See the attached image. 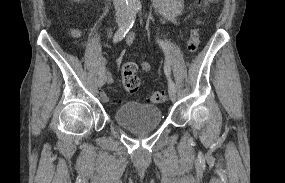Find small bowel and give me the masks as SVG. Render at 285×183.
<instances>
[{
  "mask_svg": "<svg viewBox=\"0 0 285 183\" xmlns=\"http://www.w3.org/2000/svg\"><path fill=\"white\" fill-rule=\"evenodd\" d=\"M153 6L160 16L162 22H169L174 25L178 24V19L184 14V0H152ZM134 41V34H130L127 37V44L132 45ZM138 64L140 68L148 72L151 69V65L148 61L139 59ZM107 60L104 55L101 56V67L106 71V81L108 83L113 82V77L106 69ZM101 99L106 102L108 100L104 93H101Z\"/></svg>",
  "mask_w": 285,
  "mask_h": 183,
  "instance_id": "c3829d8e",
  "label": "small bowel"
}]
</instances>
